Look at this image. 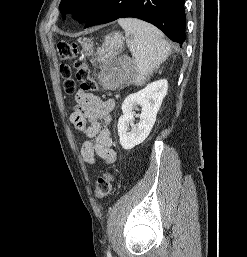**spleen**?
I'll return each mask as SVG.
<instances>
[{
    "label": "spleen",
    "mask_w": 247,
    "mask_h": 257,
    "mask_svg": "<svg viewBox=\"0 0 247 257\" xmlns=\"http://www.w3.org/2000/svg\"><path fill=\"white\" fill-rule=\"evenodd\" d=\"M118 23L125 31L126 43L137 67L135 83L141 85L168 58L170 44L163 33L149 23L134 18H121Z\"/></svg>",
    "instance_id": "spleen-1"
}]
</instances>
